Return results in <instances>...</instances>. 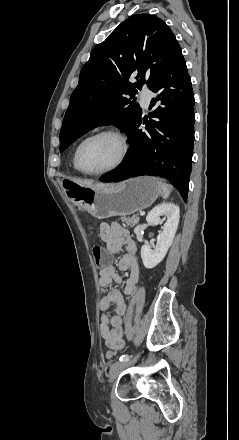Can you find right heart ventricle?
<instances>
[{
  "label": "right heart ventricle",
  "instance_id": "1",
  "mask_svg": "<svg viewBox=\"0 0 239 440\" xmlns=\"http://www.w3.org/2000/svg\"><path fill=\"white\" fill-rule=\"evenodd\" d=\"M72 164H73L74 170L77 171V168H76V165H75V155L73 156Z\"/></svg>",
  "mask_w": 239,
  "mask_h": 440
}]
</instances>
